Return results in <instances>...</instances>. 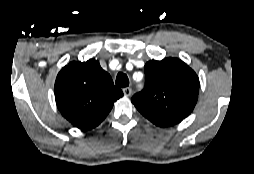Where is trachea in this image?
I'll use <instances>...</instances> for the list:
<instances>
[{
	"label": "trachea",
	"instance_id": "1",
	"mask_svg": "<svg viewBox=\"0 0 254 174\" xmlns=\"http://www.w3.org/2000/svg\"><path fill=\"white\" fill-rule=\"evenodd\" d=\"M115 83L117 86L127 87L129 85V79L126 74L120 72L117 74Z\"/></svg>",
	"mask_w": 254,
	"mask_h": 174
}]
</instances>
